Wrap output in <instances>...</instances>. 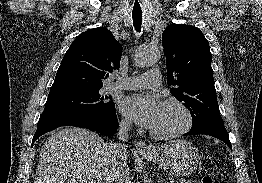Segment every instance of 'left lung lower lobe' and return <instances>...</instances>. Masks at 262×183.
Wrapping results in <instances>:
<instances>
[{
  "label": "left lung lower lobe",
  "instance_id": "1",
  "mask_svg": "<svg viewBox=\"0 0 262 183\" xmlns=\"http://www.w3.org/2000/svg\"><path fill=\"white\" fill-rule=\"evenodd\" d=\"M199 134L210 135L217 139H220L223 142H225L230 147V149H232L228 133L224 126L221 125L207 126L204 128L190 130L189 132L185 133V135H199Z\"/></svg>",
  "mask_w": 262,
  "mask_h": 183
}]
</instances>
